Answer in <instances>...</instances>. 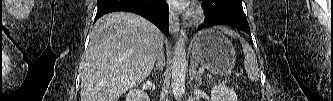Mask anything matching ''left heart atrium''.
Here are the masks:
<instances>
[{"label": "left heart atrium", "instance_id": "1", "mask_svg": "<svg viewBox=\"0 0 333 101\" xmlns=\"http://www.w3.org/2000/svg\"><path fill=\"white\" fill-rule=\"evenodd\" d=\"M187 4H188V2L185 1V0H173V1H171V6L175 9L185 8Z\"/></svg>", "mask_w": 333, "mask_h": 101}]
</instances>
